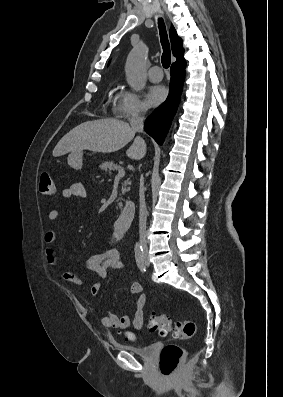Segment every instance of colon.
<instances>
[{
    "label": "colon",
    "instance_id": "1",
    "mask_svg": "<svg viewBox=\"0 0 283 397\" xmlns=\"http://www.w3.org/2000/svg\"><path fill=\"white\" fill-rule=\"evenodd\" d=\"M39 192L45 196H53L56 192L55 182L48 172H43L39 179ZM172 327L175 336L181 339L191 338L195 334L196 325L192 321H173L169 316L151 314L149 317V329L161 337H166ZM128 340H134L132 334H127ZM185 355V350L180 346L167 344L160 355L159 367L164 376H172L178 370Z\"/></svg>",
    "mask_w": 283,
    "mask_h": 397
}]
</instances>
